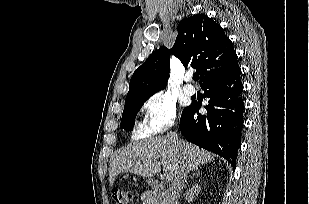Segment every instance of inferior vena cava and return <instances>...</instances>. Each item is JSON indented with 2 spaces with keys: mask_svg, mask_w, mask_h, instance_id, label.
<instances>
[{
  "mask_svg": "<svg viewBox=\"0 0 309 204\" xmlns=\"http://www.w3.org/2000/svg\"><path fill=\"white\" fill-rule=\"evenodd\" d=\"M168 138L174 143L179 144V139L177 134L171 132L168 134ZM189 172V167L187 163L182 161L180 163V167L178 168L174 179L169 187L168 193L166 195L165 204H177V200L180 196L181 190L184 187V183L186 181L187 174Z\"/></svg>",
  "mask_w": 309,
  "mask_h": 204,
  "instance_id": "obj_1",
  "label": "inferior vena cava"
}]
</instances>
